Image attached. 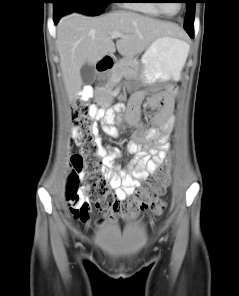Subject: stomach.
I'll use <instances>...</instances> for the list:
<instances>
[{
  "mask_svg": "<svg viewBox=\"0 0 239 296\" xmlns=\"http://www.w3.org/2000/svg\"><path fill=\"white\" fill-rule=\"evenodd\" d=\"M189 45L177 36L156 38L141 58V74L150 83L176 81L186 62ZM143 90H155V85H143ZM135 101V96H128Z\"/></svg>",
  "mask_w": 239,
  "mask_h": 296,
  "instance_id": "stomach-1",
  "label": "stomach"
}]
</instances>
